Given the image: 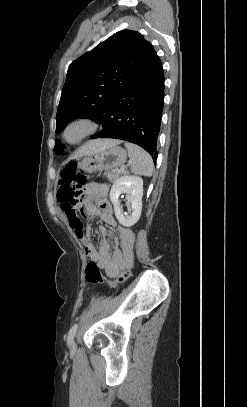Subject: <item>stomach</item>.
<instances>
[{"label":"stomach","instance_id":"1","mask_svg":"<svg viewBox=\"0 0 247 407\" xmlns=\"http://www.w3.org/2000/svg\"><path fill=\"white\" fill-rule=\"evenodd\" d=\"M126 159V150L116 145L84 156L78 161L77 167L85 173L109 171L123 165Z\"/></svg>","mask_w":247,"mask_h":407}]
</instances>
